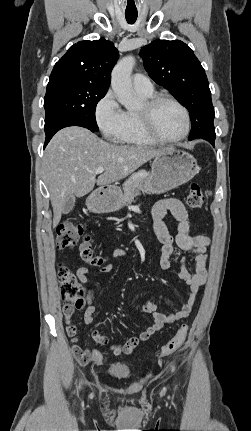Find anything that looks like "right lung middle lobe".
<instances>
[{
    "label": "right lung middle lobe",
    "mask_w": 251,
    "mask_h": 431,
    "mask_svg": "<svg viewBox=\"0 0 251 431\" xmlns=\"http://www.w3.org/2000/svg\"><path fill=\"white\" fill-rule=\"evenodd\" d=\"M107 90L72 77L50 78L44 98L45 131L67 121L84 123L98 131L96 105Z\"/></svg>",
    "instance_id": "right-lung-middle-lobe-1"
}]
</instances>
